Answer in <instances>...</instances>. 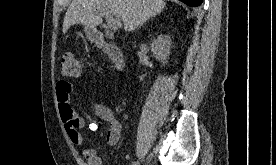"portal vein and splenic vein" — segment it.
<instances>
[{
	"label": "portal vein and splenic vein",
	"instance_id": "obj_1",
	"mask_svg": "<svg viewBox=\"0 0 276 165\" xmlns=\"http://www.w3.org/2000/svg\"><path fill=\"white\" fill-rule=\"evenodd\" d=\"M101 16H105L107 25L110 29H117L118 27H121L120 20L113 18L111 12L108 9H103L100 12Z\"/></svg>",
	"mask_w": 276,
	"mask_h": 165
}]
</instances>
